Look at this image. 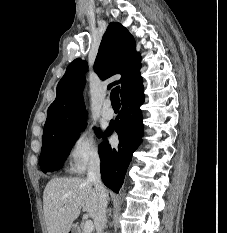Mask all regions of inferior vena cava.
I'll return each instance as SVG.
<instances>
[{
  "instance_id": "obj_1",
  "label": "inferior vena cava",
  "mask_w": 227,
  "mask_h": 233,
  "mask_svg": "<svg viewBox=\"0 0 227 233\" xmlns=\"http://www.w3.org/2000/svg\"><path fill=\"white\" fill-rule=\"evenodd\" d=\"M87 178L93 182L99 195V208L95 218L97 233H102L107 223L106 208L108 203V194L105 186L101 181L100 175V159L94 157L89 164Z\"/></svg>"
}]
</instances>
